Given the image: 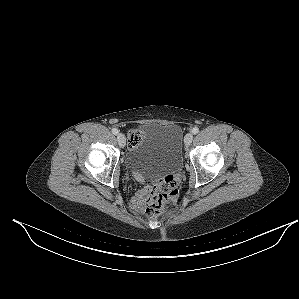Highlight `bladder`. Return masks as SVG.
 <instances>
[{
  "label": "bladder",
  "mask_w": 299,
  "mask_h": 299,
  "mask_svg": "<svg viewBox=\"0 0 299 299\" xmlns=\"http://www.w3.org/2000/svg\"><path fill=\"white\" fill-rule=\"evenodd\" d=\"M181 128L176 124L146 123L140 140L126 155V164L146 178H160L182 167Z\"/></svg>",
  "instance_id": "bladder-1"
}]
</instances>
